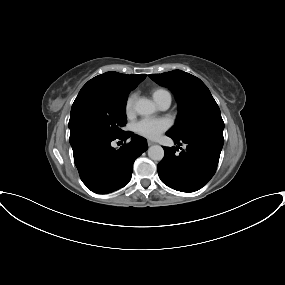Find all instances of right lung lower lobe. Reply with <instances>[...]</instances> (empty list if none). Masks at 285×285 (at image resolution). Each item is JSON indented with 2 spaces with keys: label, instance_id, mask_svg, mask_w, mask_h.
<instances>
[{
  "label": "right lung lower lobe",
  "instance_id": "right-lung-lower-lobe-1",
  "mask_svg": "<svg viewBox=\"0 0 285 285\" xmlns=\"http://www.w3.org/2000/svg\"><path fill=\"white\" fill-rule=\"evenodd\" d=\"M132 135V132L119 137L89 135L70 143L81 180L91 191L106 194L129 182L133 163L147 150V141L133 135L131 142L119 150H115L111 143L114 140L126 141Z\"/></svg>",
  "mask_w": 285,
  "mask_h": 285
}]
</instances>
